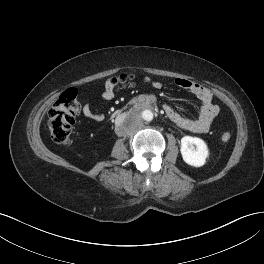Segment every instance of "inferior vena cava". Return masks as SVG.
Segmentation results:
<instances>
[{
    "label": "inferior vena cava",
    "mask_w": 264,
    "mask_h": 264,
    "mask_svg": "<svg viewBox=\"0 0 264 264\" xmlns=\"http://www.w3.org/2000/svg\"><path fill=\"white\" fill-rule=\"evenodd\" d=\"M131 121L135 127L142 124V120L139 115L131 116ZM125 123V118L123 116H117L114 119V125L118 126L119 124Z\"/></svg>",
    "instance_id": "inferior-vena-cava-1"
}]
</instances>
